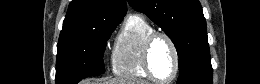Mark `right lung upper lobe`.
Instances as JSON below:
<instances>
[{
    "instance_id": "obj_1",
    "label": "right lung upper lobe",
    "mask_w": 260,
    "mask_h": 84,
    "mask_svg": "<svg viewBox=\"0 0 260 84\" xmlns=\"http://www.w3.org/2000/svg\"><path fill=\"white\" fill-rule=\"evenodd\" d=\"M126 11V0H73L59 40L84 37L89 28L100 22L122 21Z\"/></svg>"
}]
</instances>
